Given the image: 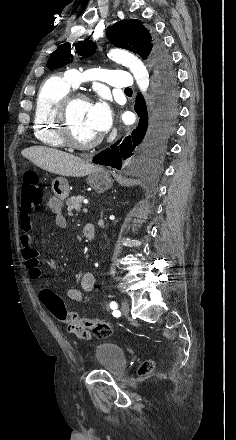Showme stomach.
I'll use <instances>...</instances> for the list:
<instances>
[{
	"label": "stomach",
	"instance_id": "1",
	"mask_svg": "<svg viewBox=\"0 0 236 440\" xmlns=\"http://www.w3.org/2000/svg\"><path fill=\"white\" fill-rule=\"evenodd\" d=\"M87 183L97 193H103L112 187L113 180L108 171L102 168H96L88 174ZM52 191L60 200L66 199L69 195L67 180L63 177L55 178L52 181Z\"/></svg>",
	"mask_w": 236,
	"mask_h": 440
}]
</instances>
